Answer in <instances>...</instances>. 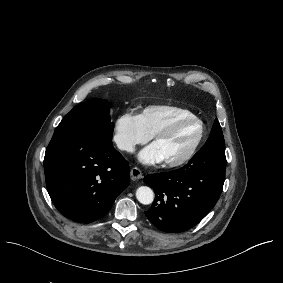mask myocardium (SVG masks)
<instances>
[{
    "mask_svg": "<svg viewBox=\"0 0 283 283\" xmlns=\"http://www.w3.org/2000/svg\"><path fill=\"white\" fill-rule=\"evenodd\" d=\"M188 121H195L199 124L200 128H199L197 137L194 143L192 144V146L190 147V149L188 150V152L182 158L175 160V161H170V160L165 161V164L168 167H171V168L181 167L193 159V157L198 152L205 138V134H206L205 123L201 118H199L196 115H193V114L184 115L174 120L169 126H167L165 129H163L162 131H160L159 133L155 135L156 141L169 138L176 132V130L178 129L180 125Z\"/></svg>",
    "mask_w": 283,
    "mask_h": 283,
    "instance_id": "1",
    "label": "myocardium"
}]
</instances>
